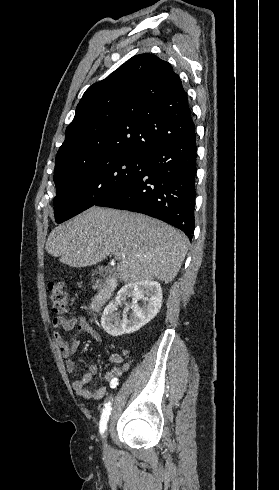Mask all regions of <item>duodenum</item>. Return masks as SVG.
Here are the masks:
<instances>
[{"mask_svg":"<svg viewBox=\"0 0 279 490\" xmlns=\"http://www.w3.org/2000/svg\"><path fill=\"white\" fill-rule=\"evenodd\" d=\"M117 287V281L113 277L106 278L101 283V286L94 296L90 304L92 312H98L102 306L111 298Z\"/></svg>","mask_w":279,"mask_h":490,"instance_id":"duodenum-1","label":"duodenum"}]
</instances>
